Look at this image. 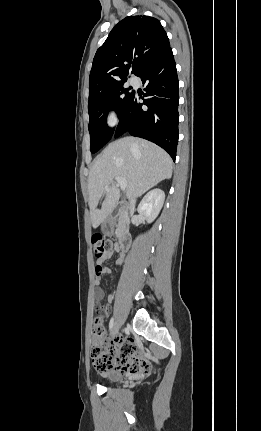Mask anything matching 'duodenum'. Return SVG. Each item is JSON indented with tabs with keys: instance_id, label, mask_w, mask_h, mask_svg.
I'll return each instance as SVG.
<instances>
[{
	"instance_id": "1",
	"label": "duodenum",
	"mask_w": 261,
	"mask_h": 431,
	"mask_svg": "<svg viewBox=\"0 0 261 431\" xmlns=\"http://www.w3.org/2000/svg\"><path fill=\"white\" fill-rule=\"evenodd\" d=\"M121 209L125 214L127 213V210L125 207H122ZM112 223H113V220L111 218L106 221L105 227L107 230H109L112 227ZM130 245H131L130 234L126 226H124L119 233V248L121 253L124 254L130 248Z\"/></svg>"
}]
</instances>
